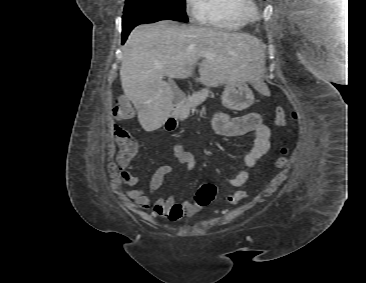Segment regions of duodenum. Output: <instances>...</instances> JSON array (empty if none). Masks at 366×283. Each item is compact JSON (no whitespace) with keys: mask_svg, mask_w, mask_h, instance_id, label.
Here are the masks:
<instances>
[{"mask_svg":"<svg viewBox=\"0 0 366 283\" xmlns=\"http://www.w3.org/2000/svg\"><path fill=\"white\" fill-rule=\"evenodd\" d=\"M175 124H176L175 119L173 117H169L166 121L165 126H166L167 130H172V129H174Z\"/></svg>","mask_w":366,"mask_h":283,"instance_id":"1","label":"duodenum"}]
</instances>
